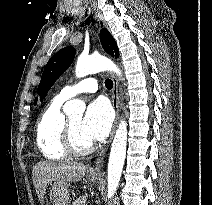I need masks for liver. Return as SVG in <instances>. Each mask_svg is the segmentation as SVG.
I'll return each mask as SVG.
<instances>
[{
  "instance_id": "obj_1",
  "label": "liver",
  "mask_w": 212,
  "mask_h": 205,
  "mask_svg": "<svg viewBox=\"0 0 212 205\" xmlns=\"http://www.w3.org/2000/svg\"><path fill=\"white\" fill-rule=\"evenodd\" d=\"M87 168L86 165L79 163L39 162L33 168V181L40 202L44 201L49 182H78L85 176Z\"/></svg>"
}]
</instances>
